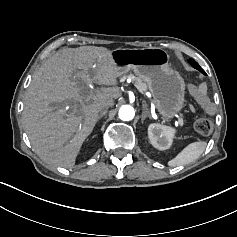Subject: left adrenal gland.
Masks as SVG:
<instances>
[{
    "mask_svg": "<svg viewBox=\"0 0 237 237\" xmlns=\"http://www.w3.org/2000/svg\"><path fill=\"white\" fill-rule=\"evenodd\" d=\"M149 118L151 119V116L149 115L148 108L146 106V103L143 102V112H142V117H141V124L144 123V121Z\"/></svg>",
    "mask_w": 237,
    "mask_h": 237,
    "instance_id": "1",
    "label": "left adrenal gland"
}]
</instances>
